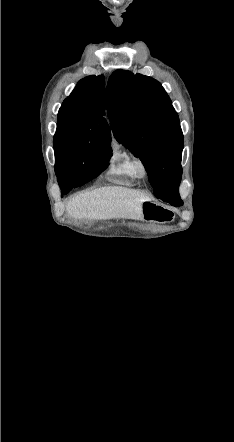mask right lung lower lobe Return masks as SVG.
Here are the masks:
<instances>
[{
	"label": "right lung lower lobe",
	"mask_w": 234,
	"mask_h": 442,
	"mask_svg": "<svg viewBox=\"0 0 234 442\" xmlns=\"http://www.w3.org/2000/svg\"><path fill=\"white\" fill-rule=\"evenodd\" d=\"M71 189L70 188H61V194H67Z\"/></svg>",
	"instance_id": "1"
}]
</instances>
